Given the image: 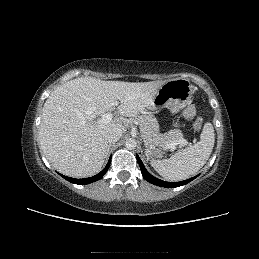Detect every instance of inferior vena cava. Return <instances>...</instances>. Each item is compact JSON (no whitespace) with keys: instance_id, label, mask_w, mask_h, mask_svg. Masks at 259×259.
I'll return each mask as SVG.
<instances>
[{"instance_id":"1","label":"inferior vena cava","mask_w":259,"mask_h":259,"mask_svg":"<svg viewBox=\"0 0 259 259\" xmlns=\"http://www.w3.org/2000/svg\"><path fill=\"white\" fill-rule=\"evenodd\" d=\"M122 134L123 133L120 130H114L107 133L105 139L109 144L115 143L121 138Z\"/></svg>"}]
</instances>
